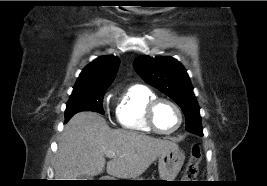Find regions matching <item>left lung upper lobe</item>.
<instances>
[{"label":"left lung upper lobe","instance_id":"left-lung-upper-lobe-1","mask_svg":"<svg viewBox=\"0 0 267 186\" xmlns=\"http://www.w3.org/2000/svg\"><path fill=\"white\" fill-rule=\"evenodd\" d=\"M134 68L148 83L172 98L186 118V130L203 135L199 106L185 68L172 57L141 56Z\"/></svg>","mask_w":267,"mask_h":186}]
</instances>
